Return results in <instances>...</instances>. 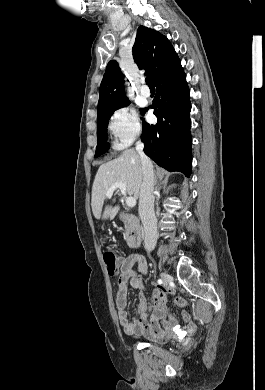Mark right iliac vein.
I'll list each match as a JSON object with an SVG mask.
<instances>
[{"instance_id":"63e3f726","label":"right iliac vein","mask_w":265,"mask_h":390,"mask_svg":"<svg viewBox=\"0 0 265 390\" xmlns=\"http://www.w3.org/2000/svg\"><path fill=\"white\" fill-rule=\"evenodd\" d=\"M161 279H162L164 285H167L169 283V281L171 280L170 276L165 272L161 273Z\"/></svg>"}]
</instances>
